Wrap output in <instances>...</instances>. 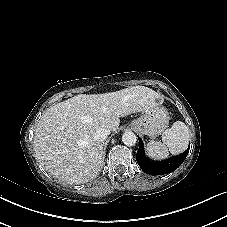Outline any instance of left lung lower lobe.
Segmentation results:
<instances>
[{"label":"left lung lower lobe","mask_w":227,"mask_h":227,"mask_svg":"<svg viewBox=\"0 0 227 227\" xmlns=\"http://www.w3.org/2000/svg\"><path fill=\"white\" fill-rule=\"evenodd\" d=\"M138 139H139V149L137 151L136 160L140 168L145 173L150 175H162V174H168L173 172L184 162L190 149V146H189L185 152L177 156H173L162 162H153L145 156L143 142L140 138Z\"/></svg>","instance_id":"obj_1"}]
</instances>
